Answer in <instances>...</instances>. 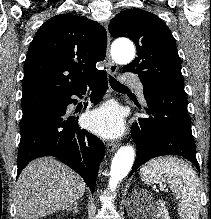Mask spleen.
I'll use <instances>...</instances> for the list:
<instances>
[{
    "mask_svg": "<svg viewBox=\"0 0 211 219\" xmlns=\"http://www.w3.org/2000/svg\"><path fill=\"white\" fill-rule=\"evenodd\" d=\"M140 177L146 184L165 182L173 193L181 198L178 214L181 219H198L201 189L195 170L183 160L173 157L154 158L140 169Z\"/></svg>",
    "mask_w": 211,
    "mask_h": 219,
    "instance_id": "obj_1",
    "label": "spleen"
}]
</instances>
